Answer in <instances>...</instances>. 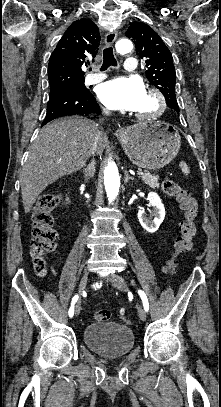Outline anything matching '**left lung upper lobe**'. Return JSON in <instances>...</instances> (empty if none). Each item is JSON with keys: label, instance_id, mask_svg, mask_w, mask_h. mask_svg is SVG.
Listing matches in <instances>:
<instances>
[{"label": "left lung upper lobe", "instance_id": "5c2ea615", "mask_svg": "<svg viewBox=\"0 0 221 407\" xmlns=\"http://www.w3.org/2000/svg\"><path fill=\"white\" fill-rule=\"evenodd\" d=\"M126 35L134 41L137 55L146 59L147 79L162 92L168 107L179 112L175 67L172 54L163 40L143 22L132 23Z\"/></svg>", "mask_w": 221, "mask_h": 407}]
</instances>
